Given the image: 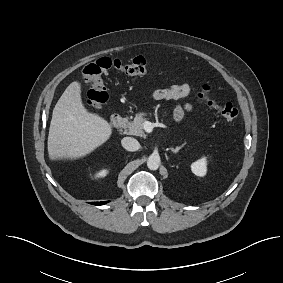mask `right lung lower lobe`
I'll return each mask as SVG.
<instances>
[{"instance_id":"obj_1","label":"right lung lower lobe","mask_w":283,"mask_h":283,"mask_svg":"<svg viewBox=\"0 0 283 283\" xmlns=\"http://www.w3.org/2000/svg\"><path fill=\"white\" fill-rule=\"evenodd\" d=\"M108 201H103V202H93L94 205H103L107 203Z\"/></svg>"}]
</instances>
